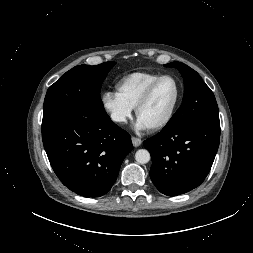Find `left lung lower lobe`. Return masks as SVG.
Masks as SVG:
<instances>
[{
  "label": "left lung lower lobe",
  "instance_id": "left-lung-lower-lobe-1",
  "mask_svg": "<svg viewBox=\"0 0 253 253\" xmlns=\"http://www.w3.org/2000/svg\"><path fill=\"white\" fill-rule=\"evenodd\" d=\"M220 122L197 121L161 130L143 142L152 158L156 188L176 196L198 187L208 175L219 147Z\"/></svg>",
  "mask_w": 253,
  "mask_h": 253
}]
</instances>
